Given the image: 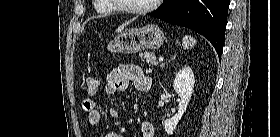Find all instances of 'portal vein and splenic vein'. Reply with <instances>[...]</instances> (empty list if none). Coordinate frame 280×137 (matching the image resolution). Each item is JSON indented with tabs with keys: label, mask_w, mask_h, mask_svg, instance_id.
I'll return each mask as SVG.
<instances>
[{
	"label": "portal vein and splenic vein",
	"mask_w": 280,
	"mask_h": 137,
	"mask_svg": "<svg viewBox=\"0 0 280 137\" xmlns=\"http://www.w3.org/2000/svg\"><path fill=\"white\" fill-rule=\"evenodd\" d=\"M159 61H163V58L161 57V58H159Z\"/></svg>",
	"instance_id": "18ae733b"
}]
</instances>
